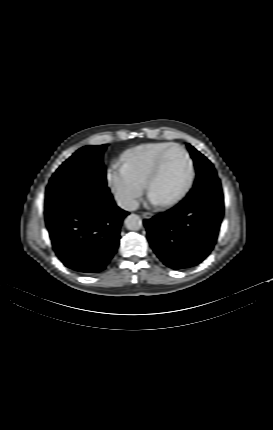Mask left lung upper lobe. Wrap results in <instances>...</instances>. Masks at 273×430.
Wrapping results in <instances>:
<instances>
[{"label": "left lung upper lobe", "instance_id": "5c2ea615", "mask_svg": "<svg viewBox=\"0 0 273 430\" xmlns=\"http://www.w3.org/2000/svg\"><path fill=\"white\" fill-rule=\"evenodd\" d=\"M187 146L196 166L197 179L195 185L201 183L203 178L207 176L217 177L216 171L211 162L207 160V158L204 157L200 152L194 149L190 144H187Z\"/></svg>", "mask_w": 273, "mask_h": 430}]
</instances>
